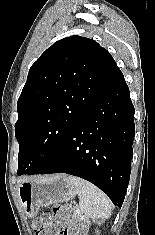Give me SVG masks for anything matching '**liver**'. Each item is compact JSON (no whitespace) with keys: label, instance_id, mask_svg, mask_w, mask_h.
Instances as JSON below:
<instances>
[{"label":"liver","instance_id":"obj_1","mask_svg":"<svg viewBox=\"0 0 155 235\" xmlns=\"http://www.w3.org/2000/svg\"><path fill=\"white\" fill-rule=\"evenodd\" d=\"M34 178H31V180H33ZM30 180V179H29ZM25 181H28V179H25V180H21L20 182H25Z\"/></svg>","mask_w":155,"mask_h":235}]
</instances>
